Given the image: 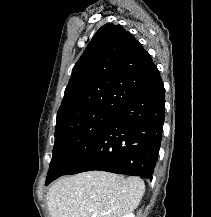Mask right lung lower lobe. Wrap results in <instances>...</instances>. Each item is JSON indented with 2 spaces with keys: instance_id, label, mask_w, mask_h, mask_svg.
Wrapping results in <instances>:
<instances>
[{
  "instance_id": "98d812e1",
  "label": "right lung lower lobe",
  "mask_w": 211,
  "mask_h": 217,
  "mask_svg": "<svg viewBox=\"0 0 211 217\" xmlns=\"http://www.w3.org/2000/svg\"><path fill=\"white\" fill-rule=\"evenodd\" d=\"M164 114V86L160 79L130 98L97 141L63 175L101 170L152 180ZM53 180H47L46 185Z\"/></svg>"
}]
</instances>
